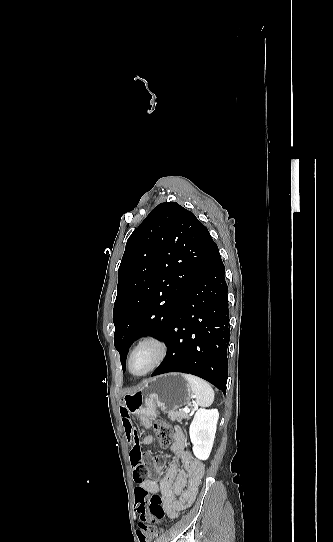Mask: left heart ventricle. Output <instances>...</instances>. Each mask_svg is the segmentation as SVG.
<instances>
[{
    "mask_svg": "<svg viewBox=\"0 0 333 542\" xmlns=\"http://www.w3.org/2000/svg\"><path fill=\"white\" fill-rule=\"evenodd\" d=\"M154 352L150 347H146L139 351L133 359L132 370L134 372L144 371L153 361Z\"/></svg>",
    "mask_w": 333,
    "mask_h": 542,
    "instance_id": "obj_1",
    "label": "left heart ventricle"
}]
</instances>
